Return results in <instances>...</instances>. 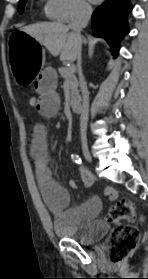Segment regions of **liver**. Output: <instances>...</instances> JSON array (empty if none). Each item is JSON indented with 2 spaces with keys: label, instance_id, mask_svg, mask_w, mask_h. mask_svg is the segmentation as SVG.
I'll return each instance as SVG.
<instances>
[{
  "label": "liver",
  "instance_id": "1",
  "mask_svg": "<svg viewBox=\"0 0 148 279\" xmlns=\"http://www.w3.org/2000/svg\"><path fill=\"white\" fill-rule=\"evenodd\" d=\"M21 31L34 37L53 56L60 55L61 61L73 62L83 44L82 37L69 32V27L58 22L37 23L23 27Z\"/></svg>",
  "mask_w": 148,
  "mask_h": 279
}]
</instances>
